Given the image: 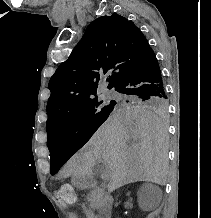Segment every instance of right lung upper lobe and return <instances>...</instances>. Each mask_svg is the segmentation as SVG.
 Returning <instances> with one entry per match:
<instances>
[{"label":"right lung upper lobe","mask_w":211,"mask_h":218,"mask_svg":"<svg viewBox=\"0 0 211 218\" xmlns=\"http://www.w3.org/2000/svg\"><path fill=\"white\" fill-rule=\"evenodd\" d=\"M151 50L139 28L125 17L112 14L94 20L50 79L46 129L64 114L96 98L99 80L105 75L110 89Z\"/></svg>","instance_id":"obj_1"}]
</instances>
